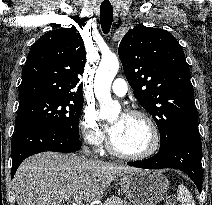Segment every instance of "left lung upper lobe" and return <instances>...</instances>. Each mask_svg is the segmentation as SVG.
I'll list each match as a JSON object with an SVG mask.
<instances>
[{
	"mask_svg": "<svg viewBox=\"0 0 212 205\" xmlns=\"http://www.w3.org/2000/svg\"><path fill=\"white\" fill-rule=\"evenodd\" d=\"M118 52L136 99L158 126L163 149L183 126L198 121L183 49L168 31L137 26Z\"/></svg>",
	"mask_w": 212,
	"mask_h": 205,
	"instance_id": "obj_1",
	"label": "left lung upper lobe"
}]
</instances>
